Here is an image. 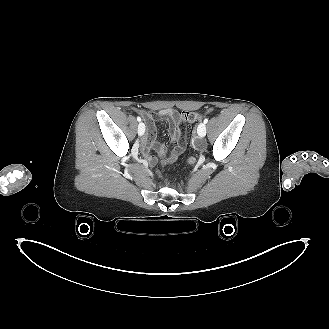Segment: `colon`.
Returning a JSON list of instances; mask_svg holds the SVG:
<instances>
[{
  "instance_id": "5ec220e1",
  "label": "colon",
  "mask_w": 329,
  "mask_h": 329,
  "mask_svg": "<svg viewBox=\"0 0 329 329\" xmlns=\"http://www.w3.org/2000/svg\"><path fill=\"white\" fill-rule=\"evenodd\" d=\"M182 121L186 123H195L202 118V115L196 111H182L181 114Z\"/></svg>"
}]
</instances>
